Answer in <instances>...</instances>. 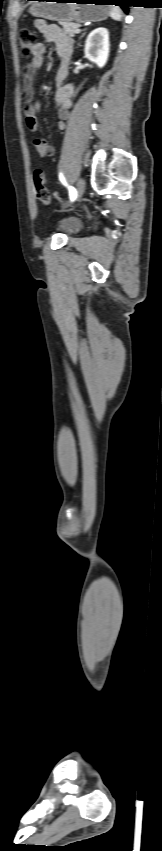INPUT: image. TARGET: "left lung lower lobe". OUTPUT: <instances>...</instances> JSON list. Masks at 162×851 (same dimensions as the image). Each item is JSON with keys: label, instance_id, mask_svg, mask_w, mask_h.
Returning a JSON list of instances; mask_svg holds the SVG:
<instances>
[{"label": "left lung lower lobe", "instance_id": "obj_1", "mask_svg": "<svg viewBox=\"0 0 162 851\" xmlns=\"http://www.w3.org/2000/svg\"><path fill=\"white\" fill-rule=\"evenodd\" d=\"M41 1H44V0H41ZM97 1H99V3H109V4H114L116 6H120L126 13L128 12L127 6H129V4H128L129 2L127 0H97Z\"/></svg>", "mask_w": 162, "mask_h": 851}]
</instances>
